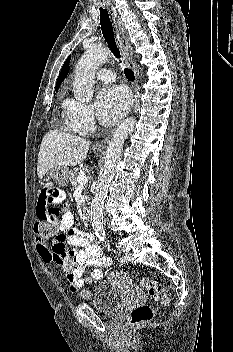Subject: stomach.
I'll return each instance as SVG.
<instances>
[{"mask_svg": "<svg viewBox=\"0 0 233 352\" xmlns=\"http://www.w3.org/2000/svg\"><path fill=\"white\" fill-rule=\"evenodd\" d=\"M50 177L60 186H66L69 180V171L66 167H53L49 171Z\"/></svg>", "mask_w": 233, "mask_h": 352, "instance_id": "1", "label": "stomach"}]
</instances>
